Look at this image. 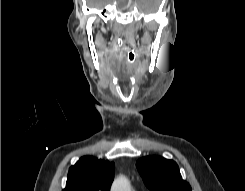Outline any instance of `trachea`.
Segmentation results:
<instances>
[{"mask_svg":"<svg viewBox=\"0 0 245 191\" xmlns=\"http://www.w3.org/2000/svg\"><path fill=\"white\" fill-rule=\"evenodd\" d=\"M127 61L130 64H133L136 61V53L133 50H130L127 54Z\"/></svg>","mask_w":245,"mask_h":191,"instance_id":"obj_1","label":"trachea"}]
</instances>
